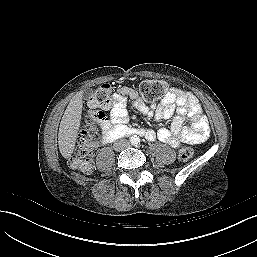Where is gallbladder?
Segmentation results:
<instances>
[{
	"label": "gallbladder",
	"instance_id": "bac80fb5",
	"mask_svg": "<svg viewBox=\"0 0 257 257\" xmlns=\"http://www.w3.org/2000/svg\"><path fill=\"white\" fill-rule=\"evenodd\" d=\"M91 95H92L91 91H88V90L84 93V97H85V98H88V97H90Z\"/></svg>",
	"mask_w": 257,
	"mask_h": 257
}]
</instances>
